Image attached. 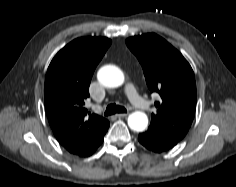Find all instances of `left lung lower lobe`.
<instances>
[{"label":"left lung lower lobe","mask_w":236,"mask_h":187,"mask_svg":"<svg viewBox=\"0 0 236 187\" xmlns=\"http://www.w3.org/2000/svg\"><path fill=\"white\" fill-rule=\"evenodd\" d=\"M138 140L147 149L157 153L166 151L179 142L175 139L153 131H146L144 133H140Z\"/></svg>","instance_id":"1"}]
</instances>
